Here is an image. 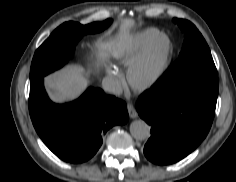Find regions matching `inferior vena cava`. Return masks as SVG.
<instances>
[{
	"mask_svg": "<svg viewBox=\"0 0 236 182\" xmlns=\"http://www.w3.org/2000/svg\"><path fill=\"white\" fill-rule=\"evenodd\" d=\"M102 88L104 91L114 95H120L122 93V87L120 82L111 77H105L102 80Z\"/></svg>",
	"mask_w": 236,
	"mask_h": 182,
	"instance_id": "obj_1",
	"label": "inferior vena cava"
}]
</instances>
